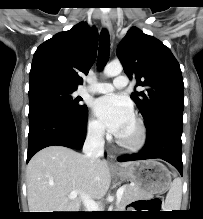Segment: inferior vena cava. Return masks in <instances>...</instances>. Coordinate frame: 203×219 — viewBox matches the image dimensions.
I'll use <instances>...</instances> for the list:
<instances>
[{"instance_id": "602c4592", "label": "inferior vena cava", "mask_w": 203, "mask_h": 219, "mask_svg": "<svg viewBox=\"0 0 203 219\" xmlns=\"http://www.w3.org/2000/svg\"><path fill=\"white\" fill-rule=\"evenodd\" d=\"M83 153L92 162L98 161L104 155V128L98 127L88 134Z\"/></svg>"}]
</instances>
